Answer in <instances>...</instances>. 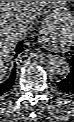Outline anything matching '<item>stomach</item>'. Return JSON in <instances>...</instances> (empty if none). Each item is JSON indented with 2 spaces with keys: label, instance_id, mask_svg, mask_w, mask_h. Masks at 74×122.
Segmentation results:
<instances>
[{
  "label": "stomach",
  "instance_id": "0dacf381",
  "mask_svg": "<svg viewBox=\"0 0 74 122\" xmlns=\"http://www.w3.org/2000/svg\"><path fill=\"white\" fill-rule=\"evenodd\" d=\"M55 15L50 18L48 21V24H55V23H65L69 20L71 13L69 12L68 8L64 5H61L57 7V9H54ZM44 32L46 30L44 29Z\"/></svg>",
  "mask_w": 74,
  "mask_h": 122
}]
</instances>
